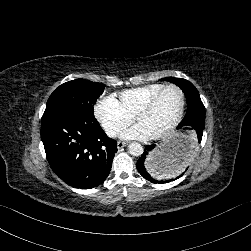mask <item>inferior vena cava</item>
<instances>
[{
  "label": "inferior vena cava",
  "mask_w": 251,
  "mask_h": 251,
  "mask_svg": "<svg viewBox=\"0 0 251 251\" xmlns=\"http://www.w3.org/2000/svg\"><path fill=\"white\" fill-rule=\"evenodd\" d=\"M107 132L112 136V137H116L120 134V131L116 128H109L107 130Z\"/></svg>",
  "instance_id": "obj_1"
}]
</instances>
